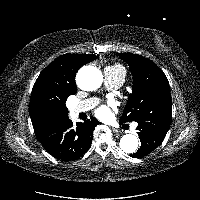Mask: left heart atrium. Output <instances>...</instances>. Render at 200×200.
<instances>
[{
	"instance_id": "obj_1",
	"label": "left heart atrium",
	"mask_w": 200,
	"mask_h": 200,
	"mask_svg": "<svg viewBox=\"0 0 200 200\" xmlns=\"http://www.w3.org/2000/svg\"><path fill=\"white\" fill-rule=\"evenodd\" d=\"M113 107L112 104H103L100 105L96 110H95V115L100 118V119H107L111 115V108Z\"/></svg>"
}]
</instances>
